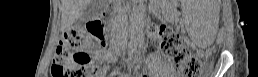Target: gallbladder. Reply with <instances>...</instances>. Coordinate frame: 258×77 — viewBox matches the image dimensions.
I'll list each match as a JSON object with an SVG mask.
<instances>
[{"instance_id": "bac80fb5", "label": "gallbladder", "mask_w": 258, "mask_h": 77, "mask_svg": "<svg viewBox=\"0 0 258 77\" xmlns=\"http://www.w3.org/2000/svg\"><path fill=\"white\" fill-rule=\"evenodd\" d=\"M96 2H98V1L91 0L87 4V6L85 7V9L82 12V19L83 20H88V19L94 18L102 10V7L99 6L98 4H96Z\"/></svg>"}]
</instances>
